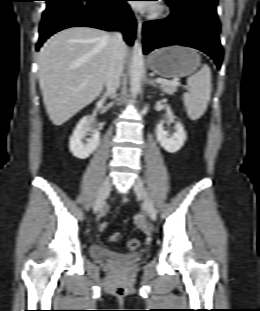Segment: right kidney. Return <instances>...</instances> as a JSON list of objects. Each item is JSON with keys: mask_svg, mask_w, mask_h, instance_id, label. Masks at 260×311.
Masks as SVG:
<instances>
[{"mask_svg": "<svg viewBox=\"0 0 260 311\" xmlns=\"http://www.w3.org/2000/svg\"><path fill=\"white\" fill-rule=\"evenodd\" d=\"M90 124L88 116L83 117L77 124L69 142V149L73 156L79 159L88 158L97 148L100 142V133L97 130H91L92 137L83 143V138L87 133V126Z\"/></svg>", "mask_w": 260, "mask_h": 311, "instance_id": "right-kidney-1", "label": "right kidney"}]
</instances>
